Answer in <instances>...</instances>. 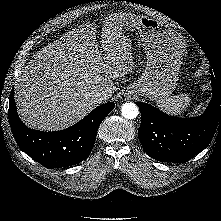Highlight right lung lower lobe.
Wrapping results in <instances>:
<instances>
[{"mask_svg": "<svg viewBox=\"0 0 221 221\" xmlns=\"http://www.w3.org/2000/svg\"><path fill=\"white\" fill-rule=\"evenodd\" d=\"M114 106L112 102L102 104L67 129L42 132L28 128L20 120L12 89L8 117L12 134L19 147L32 159L51 169L68 167L86 159L95 143L99 125Z\"/></svg>", "mask_w": 221, "mask_h": 221, "instance_id": "1", "label": "right lung lower lobe"}]
</instances>
